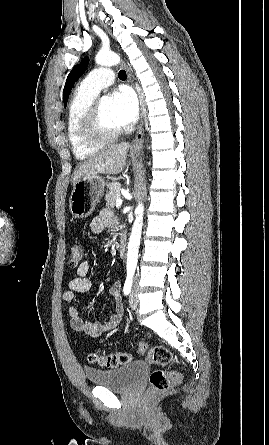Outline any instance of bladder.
<instances>
[{"instance_id":"31cf9c89","label":"bladder","mask_w":269,"mask_h":445,"mask_svg":"<svg viewBox=\"0 0 269 445\" xmlns=\"http://www.w3.org/2000/svg\"><path fill=\"white\" fill-rule=\"evenodd\" d=\"M147 370V364L137 360L114 369L85 368L84 375L87 382L93 386L125 391L137 384Z\"/></svg>"}]
</instances>
